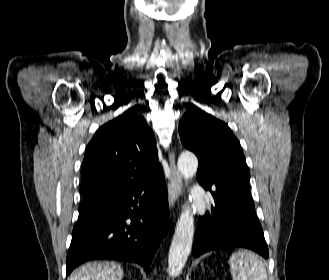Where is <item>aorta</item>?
Masks as SVG:
<instances>
[{
    "mask_svg": "<svg viewBox=\"0 0 329 280\" xmlns=\"http://www.w3.org/2000/svg\"><path fill=\"white\" fill-rule=\"evenodd\" d=\"M198 168L197 157L189 152L182 153L178 159V170L184 179L192 178ZM194 236V218L189 206L184 209L178 219L168 256V273L178 276L185 266L191 252Z\"/></svg>",
    "mask_w": 329,
    "mask_h": 280,
    "instance_id": "1",
    "label": "aorta"
}]
</instances>
